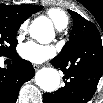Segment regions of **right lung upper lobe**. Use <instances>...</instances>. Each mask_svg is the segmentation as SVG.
Listing matches in <instances>:
<instances>
[{
    "label": "right lung upper lobe",
    "mask_w": 103,
    "mask_h": 103,
    "mask_svg": "<svg viewBox=\"0 0 103 103\" xmlns=\"http://www.w3.org/2000/svg\"><path fill=\"white\" fill-rule=\"evenodd\" d=\"M42 6L22 4V5H0V13L12 19L24 22L33 13L42 10Z\"/></svg>",
    "instance_id": "cb5924a9"
}]
</instances>
